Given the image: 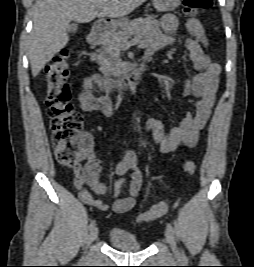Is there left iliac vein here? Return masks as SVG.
Segmentation results:
<instances>
[{"label": "left iliac vein", "mask_w": 254, "mask_h": 267, "mask_svg": "<svg viewBox=\"0 0 254 267\" xmlns=\"http://www.w3.org/2000/svg\"><path fill=\"white\" fill-rule=\"evenodd\" d=\"M165 238H166L167 242L169 243V245H170V247H171V249H172L173 254L175 255V257H177V258L180 257V252H179V250L177 248L174 235L168 229L165 230Z\"/></svg>", "instance_id": "4c4485c4"}]
</instances>
